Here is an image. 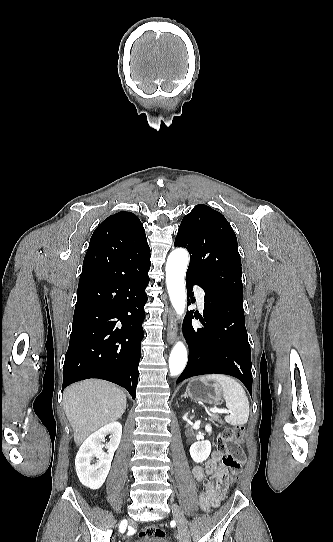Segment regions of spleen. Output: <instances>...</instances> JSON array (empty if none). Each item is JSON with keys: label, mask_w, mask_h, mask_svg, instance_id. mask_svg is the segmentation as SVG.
<instances>
[{"label": "spleen", "mask_w": 333, "mask_h": 542, "mask_svg": "<svg viewBox=\"0 0 333 542\" xmlns=\"http://www.w3.org/2000/svg\"><path fill=\"white\" fill-rule=\"evenodd\" d=\"M205 380H211L218 384L229 416H225V422L230 426H243L249 418V402L244 388L237 380L223 374H209L204 376Z\"/></svg>", "instance_id": "1"}]
</instances>
